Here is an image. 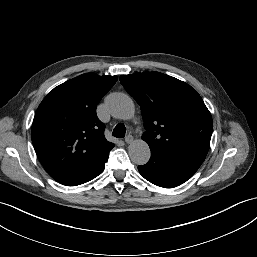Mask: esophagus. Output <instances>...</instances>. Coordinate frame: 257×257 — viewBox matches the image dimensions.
Returning <instances> with one entry per match:
<instances>
[{
	"instance_id": "1",
	"label": "esophagus",
	"mask_w": 257,
	"mask_h": 257,
	"mask_svg": "<svg viewBox=\"0 0 257 257\" xmlns=\"http://www.w3.org/2000/svg\"><path fill=\"white\" fill-rule=\"evenodd\" d=\"M133 136L132 135H127L126 137H125V142L127 143V144H130V143H132L133 142Z\"/></svg>"
}]
</instances>
